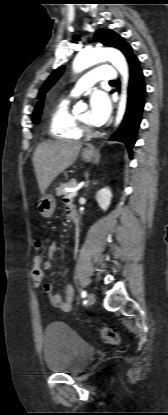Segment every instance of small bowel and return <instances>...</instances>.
Segmentation results:
<instances>
[{
    "label": "small bowel",
    "instance_id": "1",
    "mask_svg": "<svg viewBox=\"0 0 168 415\" xmlns=\"http://www.w3.org/2000/svg\"><path fill=\"white\" fill-rule=\"evenodd\" d=\"M73 207L70 202H67V210ZM57 251L56 242L52 241L49 243L46 251V262L44 265L45 270L51 268L53 261L55 260V254ZM42 291L48 296L50 303L61 311L68 312L73 308L74 301V288L72 285H67L65 289L64 298L59 293H53V285L50 282H45L41 286Z\"/></svg>",
    "mask_w": 168,
    "mask_h": 415
}]
</instances>
